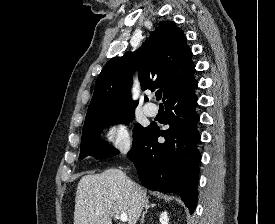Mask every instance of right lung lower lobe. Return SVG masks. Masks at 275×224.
Masks as SVG:
<instances>
[{"label": "right lung lower lobe", "mask_w": 275, "mask_h": 224, "mask_svg": "<svg viewBox=\"0 0 275 224\" xmlns=\"http://www.w3.org/2000/svg\"><path fill=\"white\" fill-rule=\"evenodd\" d=\"M198 82L193 78L165 101L169 128L150 125L133 142L128 157L134 162L142 184L150 189L176 193L193 213L197 202V179L201 156L197 148L199 116L194 94ZM165 138L164 143L158 137Z\"/></svg>", "instance_id": "98d812e1"}]
</instances>
